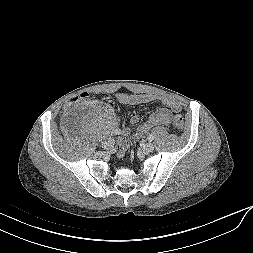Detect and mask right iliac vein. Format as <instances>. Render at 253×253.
Returning a JSON list of instances; mask_svg holds the SVG:
<instances>
[{
    "label": "right iliac vein",
    "mask_w": 253,
    "mask_h": 253,
    "mask_svg": "<svg viewBox=\"0 0 253 253\" xmlns=\"http://www.w3.org/2000/svg\"><path fill=\"white\" fill-rule=\"evenodd\" d=\"M102 147H103L104 149H111V148L113 147V143H112L111 140L104 141V142L102 143Z\"/></svg>",
    "instance_id": "obj_1"
}]
</instances>
